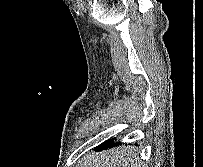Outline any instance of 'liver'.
Returning <instances> with one entry per match:
<instances>
[{"instance_id": "obj_1", "label": "liver", "mask_w": 203, "mask_h": 167, "mask_svg": "<svg viewBox=\"0 0 203 167\" xmlns=\"http://www.w3.org/2000/svg\"><path fill=\"white\" fill-rule=\"evenodd\" d=\"M79 167H142L133 146H123L99 154H88Z\"/></svg>"}]
</instances>
